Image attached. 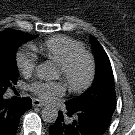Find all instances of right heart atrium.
<instances>
[{
    "label": "right heart atrium",
    "instance_id": "obj_1",
    "mask_svg": "<svg viewBox=\"0 0 135 135\" xmlns=\"http://www.w3.org/2000/svg\"><path fill=\"white\" fill-rule=\"evenodd\" d=\"M15 60L18 69L24 76H30L36 69L37 56L33 52L19 51Z\"/></svg>",
    "mask_w": 135,
    "mask_h": 135
}]
</instances>
